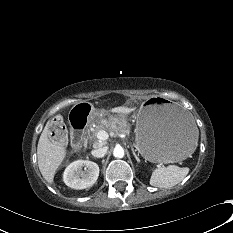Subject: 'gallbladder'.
<instances>
[{
    "label": "gallbladder",
    "instance_id": "obj_1",
    "mask_svg": "<svg viewBox=\"0 0 233 233\" xmlns=\"http://www.w3.org/2000/svg\"><path fill=\"white\" fill-rule=\"evenodd\" d=\"M62 125V124H61ZM58 135H59V138L62 139V140H65V137H66V133L64 130H59L58 131Z\"/></svg>",
    "mask_w": 233,
    "mask_h": 233
}]
</instances>
